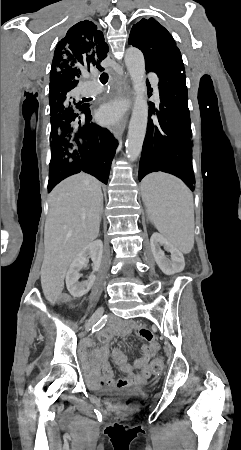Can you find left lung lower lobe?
<instances>
[{"label":"left lung lower lobe","mask_w":241,"mask_h":450,"mask_svg":"<svg viewBox=\"0 0 241 450\" xmlns=\"http://www.w3.org/2000/svg\"><path fill=\"white\" fill-rule=\"evenodd\" d=\"M161 57L154 64H146L147 72L159 77L160 110L155 113L149 103L147 133L139 165V181L151 173L163 171L181 178L192 190L195 178L192 168L191 121L185 83V69L180 51Z\"/></svg>","instance_id":"obj_1"}]
</instances>
